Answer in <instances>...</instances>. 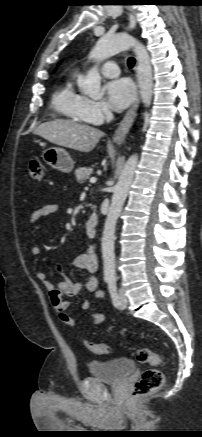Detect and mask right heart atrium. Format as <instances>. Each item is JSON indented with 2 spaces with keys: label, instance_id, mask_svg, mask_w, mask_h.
Instances as JSON below:
<instances>
[{
  "label": "right heart atrium",
  "instance_id": "1",
  "mask_svg": "<svg viewBox=\"0 0 202 437\" xmlns=\"http://www.w3.org/2000/svg\"><path fill=\"white\" fill-rule=\"evenodd\" d=\"M82 112L89 122L100 123L110 115V109L104 101H96L86 98Z\"/></svg>",
  "mask_w": 202,
  "mask_h": 437
}]
</instances>
